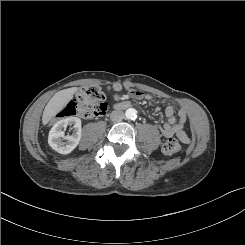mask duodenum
I'll return each mask as SVG.
<instances>
[{
    "label": "duodenum",
    "instance_id": "410a0bca",
    "mask_svg": "<svg viewBox=\"0 0 245 245\" xmlns=\"http://www.w3.org/2000/svg\"><path fill=\"white\" fill-rule=\"evenodd\" d=\"M131 106H132L131 103H129V102H124V103L118 104L116 107H117V108H120V109H126V108H129V107H131Z\"/></svg>",
    "mask_w": 245,
    "mask_h": 245
}]
</instances>
